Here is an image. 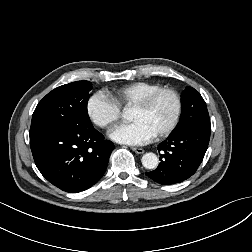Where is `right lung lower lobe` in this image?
Segmentation results:
<instances>
[{
	"mask_svg": "<svg viewBox=\"0 0 252 252\" xmlns=\"http://www.w3.org/2000/svg\"><path fill=\"white\" fill-rule=\"evenodd\" d=\"M30 146L41 174L63 191L78 193L106 171L114 144L94 127H42L30 130Z\"/></svg>",
	"mask_w": 252,
	"mask_h": 252,
	"instance_id": "right-lung-lower-lobe-1",
	"label": "right lung lower lobe"
}]
</instances>
